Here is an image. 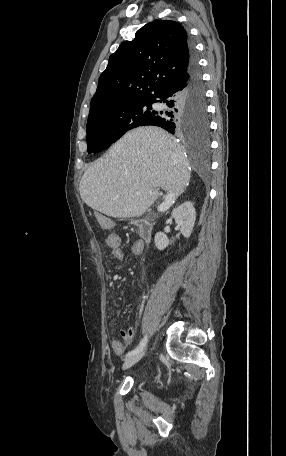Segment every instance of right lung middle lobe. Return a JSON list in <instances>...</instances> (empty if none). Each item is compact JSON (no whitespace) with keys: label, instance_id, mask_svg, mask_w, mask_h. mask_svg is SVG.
Masks as SVG:
<instances>
[{"label":"right lung middle lobe","instance_id":"dd1d6c3e","mask_svg":"<svg viewBox=\"0 0 286 456\" xmlns=\"http://www.w3.org/2000/svg\"><path fill=\"white\" fill-rule=\"evenodd\" d=\"M153 103L154 100L119 103L88 119V153L103 151L122 137L126 131L147 125L155 114L151 106ZM206 126V124L194 126L193 129L207 133Z\"/></svg>","mask_w":286,"mask_h":456}]
</instances>
